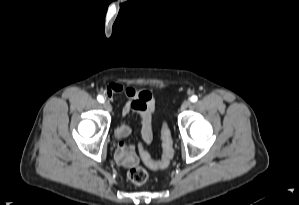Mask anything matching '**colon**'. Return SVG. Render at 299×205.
Masks as SVG:
<instances>
[{
    "mask_svg": "<svg viewBox=\"0 0 299 205\" xmlns=\"http://www.w3.org/2000/svg\"><path fill=\"white\" fill-rule=\"evenodd\" d=\"M162 155L160 160H154L145 148V143H138V150L144 163L151 169H164L169 164L174 154L173 141L167 124L162 128ZM128 178L135 185H143L148 179L147 171L141 166L132 167L128 172Z\"/></svg>",
    "mask_w": 299,
    "mask_h": 205,
    "instance_id": "obj_1",
    "label": "colon"
}]
</instances>
